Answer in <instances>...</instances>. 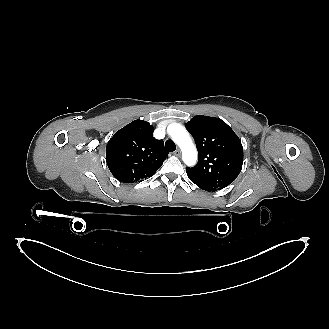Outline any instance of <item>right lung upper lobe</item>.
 Here are the masks:
<instances>
[{
  "instance_id": "obj_1",
  "label": "right lung upper lobe",
  "mask_w": 329,
  "mask_h": 329,
  "mask_svg": "<svg viewBox=\"0 0 329 329\" xmlns=\"http://www.w3.org/2000/svg\"><path fill=\"white\" fill-rule=\"evenodd\" d=\"M167 155L163 141L153 137V126L140 119L117 131L106 147L107 165L124 183L151 177Z\"/></svg>"
}]
</instances>
